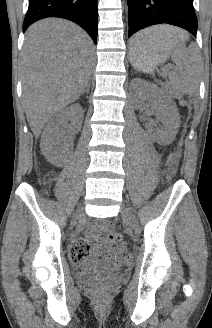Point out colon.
<instances>
[{
    "mask_svg": "<svg viewBox=\"0 0 212 328\" xmlns=\"http://www.w3.org/2000/svg\"><path fill=\"white\" fill-rule=\"evenodd\" d=\"M175 165H176V159H175V157H173L170 160V167L172 169H174ZM108 238H109L110 242L113 245H115L118 252L124 253L126 251V248H127L126 244L123 242L122 236L119 233L114 232V231H109L108 232ZM71 258H72V261H74V262H80L79 259L75 255H72ZM125 260H126L127 263H130L132 261V256L127 255ZM96 296H97V298L102 299L106 296V292L102 289L98 290L96 292Z\"/></svg>",
    "mask_w": 212,
    "mask_h": 328,
    "instance_id": "5ec220e1",
    "label": "colon"
}]
</instances>
